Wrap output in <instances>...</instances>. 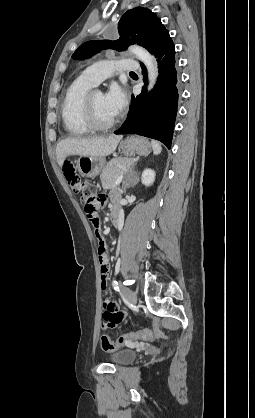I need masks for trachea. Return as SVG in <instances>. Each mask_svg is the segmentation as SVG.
Here are the masks:
<instances>
[{
    "instance_id": "trachea-1",
    "label": "trachea",
    "mask_w": 255,
    "mask_h": 418,
    "mask_svg": "<svg viewBox=\"0 0 255 418\" xmlns=\"http://www.w3.org/2000/svg\"><path fill=\"white\" fill-rule=\"evenodd\" d=\"M130 74H134V72H130Z\"/></svg>"
}]
</instances>
